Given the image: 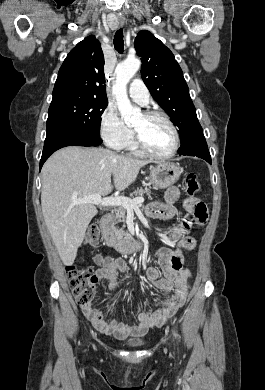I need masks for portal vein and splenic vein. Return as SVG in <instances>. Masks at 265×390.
Returning <instances> with one entry per match:
<instances>
[{
  "label": "portal vein and splenic vein",
  "mask_w": 265,
  "mask_h": 390,
  "mask_svg": "<svg viewBox=\"0 0 265 390\" xmlns=\"http://www.w3.org/2000/svg\"><path fill=\"white\" fill-rule=\"evenodd\" d=\"M73 204H94V205H100L104 207L109 206H121L125 209H133L137 205L144 202L143 197H136L134 199H130L128 197L124 196H117V197H102L99 194L86 196L84 198L80 199H72Z\"/></svg>",
  "instance_id": "1"
}]
</instances>
